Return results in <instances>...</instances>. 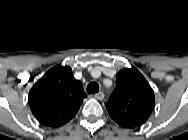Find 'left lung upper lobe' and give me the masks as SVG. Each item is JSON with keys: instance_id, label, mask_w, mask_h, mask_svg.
I'll use <instances>...</instances> for the list:
<instances>
[{"instance_id": "5c2ea615", "label": "left lung upper lobe", "mask_w": 188, "mask_h": 140, "mask_svg": "<svg viewBox=\"0 0 188 140\" xmlns=\"http://www.w3.org/2000/svg\"><path fill=\"white\" fill-rule=\"evenodd\" d=\"M116 79V88L106 108L121 127H140L154 109L153 90L143 75L133 67L119 71Z\"/></svg>"}]
</instances>
